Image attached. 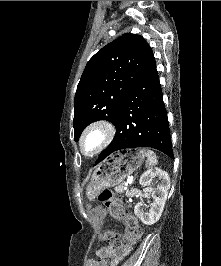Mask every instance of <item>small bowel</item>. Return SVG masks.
Segmentation results:
<instances>
[{
  "label": "small bowel",
  "instance_id": "1",
  "mask_svg": "<svg viewBox=\"0 0 221 266\" xmlns=\"http://www.w3.org/2000/svg\"><path fill=\"white\" fill-rule=\"evenodd\" d=\"M97 213H103L101 207L95 208ZM132 250V243L126 242L116 248L101 247L96 251L97 259H89L86 266H116L119 261Z\"/></svg>",
  "mask_w": 221,
  "mask_h": 266
}]
</instances>
